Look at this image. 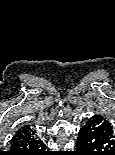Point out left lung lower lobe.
<instances>
[{"instance_id": "0a47b994", "label": "left lung lower lobe", "mask_w": 115, "mask_h": 155, "mask_svg": "<svg viewBox=\"0 0 115 155\" xmlns=\"http://www.w3.org/2000/svg\"><path fill=\"white\" fill-rule=\"evenodd\" d=\"M77 155H115V130L108 119L95 115L79 130Z\"/></svg>"}]
</instances>
